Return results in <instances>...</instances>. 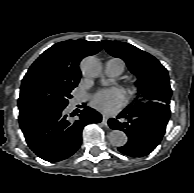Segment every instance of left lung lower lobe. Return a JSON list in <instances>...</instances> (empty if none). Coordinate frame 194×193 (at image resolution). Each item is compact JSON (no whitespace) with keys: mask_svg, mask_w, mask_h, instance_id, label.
Returning a JSON list of instances; mask_svg holds the SVG:
<instances>
[{"mask_svg":"<svg viewBox=\"0 0 194 193\" xmlns=\"http://www.w3.org/2000/svg\"><path fill=\"white\" fill-rule=\"evenodd\" d=\"M170 117L169 104L148 108L124 109L117 119L108 121L112 129L121 130L128 136V142L118 150L131 157L150 154L160 143Z\"/></svg>","mask_w":194,"mask_h":193,"instance_id":"1","label":"left lung lower lobe"}]
</instances>
